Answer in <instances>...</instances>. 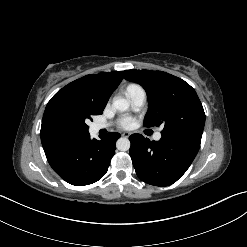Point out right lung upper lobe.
<instances>
[{
    "label": "right lung upper lobe",
    "instance_id": "1",
    "mask_svg": "<svg viewBox=\"0 0 247 247\" xmlns=\"http://www.w3.org/2000/svg\"><path fill=\"white\" fill-rule=\"evenodd\" d=\"M122 79L121 71L89 74L59 90L48 102L43 115L40 134L44 150L79 141L87 135H68L62 132L54 123L55 114L60 108L83 104L101 114Z\"/></svg>",
    "mask_w": 247,
    "mask_h": 247
}]
</instances>
